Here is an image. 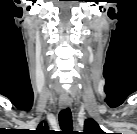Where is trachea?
Returning <instances> with one entry per match:
<instances>
[{"instance_id": "3493384b", "label": "trachea", "mask_w": 137, "mask_h": 134, "mask_svg": "<svg viewBox=\"0 0 137 134\" xmlns=\"http://www.w3.org/2000/svg\"><path fill=\"white\" fill-rule=\"evenodd\" d=\"M59 124L63 132L72 131V114L69 108L60 111Z\"/></svg>"}]
</instances>
